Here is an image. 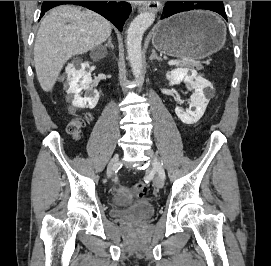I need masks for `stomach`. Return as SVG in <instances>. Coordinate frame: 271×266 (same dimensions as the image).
I'll return each mask as SVG.
<instances>
[{"mask_svg": "<svg viewBox=\"0 0 271 266\" xmlns=\"http://www.w3.org/2000/svg\"><path fill=\"white\" fill-rule=\"evenodd\" d=\"M225 36V26L215 14L196 10L158 22L152 44L161 53L190 61L220 50Z\"/></svg>", "mask_w": 271, "mask_h": 266, "instance_id": "obj_1", "label": "stomach"}]
</instances>
